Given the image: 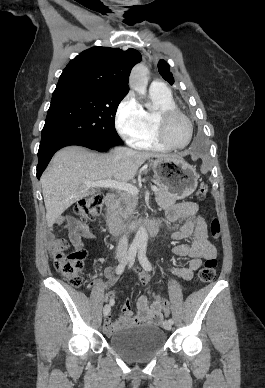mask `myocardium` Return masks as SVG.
I'll return each mask as SVG.
<instances>
[{
    "label": "myocardium",
    "instance_id": "f54148a6",
    "mask_svg": "<svg viewBox=\"0 0 265 388\" xmlns=\"http://www.w3.org/2000/svg\"><path fill=\"white\" fill-rule=\"evenodd\" d=\"M150 91H165V90H157L155 87H152L150 89ZM173 114L179 115L184 120L185 125H186V129H187V139H186L184 144L179 145V146L172 145L167 140L165 133H164L165 121L169 116H171ZM155 132H156V136H157L158 140L164 146L172 148V149H182V148H185L189 144V142L192 138L193 128H192V123H191L190 119L181 110H179L177 107L168 106V107H162V108L157 110V112L155 114Z\"/></svg>",
    "mask_w": 265,
    "mask_h": 388
}]
</instances>
